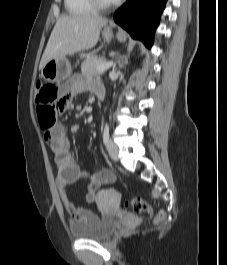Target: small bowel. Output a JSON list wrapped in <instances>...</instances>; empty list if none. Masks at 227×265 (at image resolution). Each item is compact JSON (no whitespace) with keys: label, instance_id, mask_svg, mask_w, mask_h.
<instances>
[{"label":"small bowel","instance_id":"c3829d8e","mask_svg":"<svg viewBox=\"0 0 227 265\" xmlns=\"http://www.w3.org/2000/svg\"><path fill=\"white\" fill-rule=\"evenodd\" d=\"M62 86L61 92L65 99L57 100L58 112H70L73 108L72 100L78 94L86 91L97 92L103 89L100 83L83 78L80 75H74L66 81H59ZM44 138L50 147L57 165L56 185L63 206L75 223L92 224L99 219V216L91 210L77 206L71 199L67 187L81 179L88 181L83 201L86 204L98 200L99 188L114 180V174L103 169L97 172L82 170L71 153L69 139L64 127L60 124H54L49 130L44 132Z\"/></svg>","mask_w":227,"mask_h":265}]
</instances>
